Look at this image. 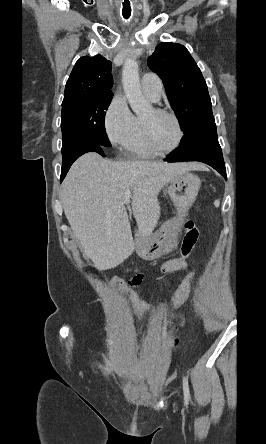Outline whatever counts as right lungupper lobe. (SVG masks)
Masks as SVG:
<instances>
[{
  "label": "right lung upper lobe",
  "mask_w": 266,
  "mask_h": 444,
  "mask_svg": "<svg viewBox=\"0 0 266 444\" xmlns=\"http://www.w3.org/2000/svg\"><path fill=\"white\" fill-rule=\"evenodd\" d=\"M111 62L101 55L81 57L67 80L62 103L97 95L112 93Z\"/></svg>",
  "instance_id": "cb5924a9"
}]
</instances>
